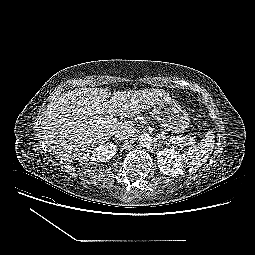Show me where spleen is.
<instances>
[{
	"instance_id": "3e777b00",
	"label": "spleen",
	"mask_w": 255,
	"mask_h": 255,
	"mask_svg": "<svg viewBox=\"0 0 255 255\" xmlns=\"http://www.w3.org/2000/svg\"><path fill=\"white\" fill-rule=\"evenodd\" d=\"M214 139V132L208 130L205 137L197 146L190 148L183 154L182 157L191 171H196L207 161L215 146Z\"/></svg>"
}]
</instances>
